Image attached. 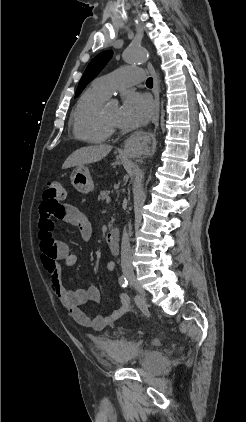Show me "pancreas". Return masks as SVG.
Here are the masks:
<instances>
[{
    "mask_svg": "<svg viewBox=\"0 0 246 422\" xmlns=\"http://www.w3.org/2000/svg\"><path fill=\"white\" fill-rule=\"evenodd\" d=\"M107 197H109V191L108 190H102L101 192H100V195H99V197H98V199L99 200H105ZM112 223L113 222H111V223H109V228H111L112 227Z\"/></svg>",
    "mask_w": 246,
    "mask_h": 422,
    "instance_id": "cf45deb5",
    "label": "pancreas"
}]
</instances>
